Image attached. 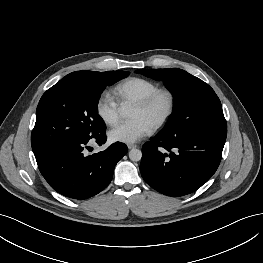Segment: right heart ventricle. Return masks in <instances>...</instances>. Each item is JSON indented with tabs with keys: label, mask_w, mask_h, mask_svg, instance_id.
Returning <instances> with one entry per match:
<instances>
[{
	"label": "right heart ventricle",
	"mask_w": 263,
	"mask_h": 263,
	"mask_svg": "<svg viewBox=\"0 0 263 263\" xmlns=\"http://www.w3.org/2000/svg\"><path fill=\"white\" fill-rule=\"evenodd\" d=\"M160 86L149 79L140 77H131L114 88V94L122 106L134 105L144 99Z\"/></svg>",
	"instance_id": "1"
}]
</instances>
